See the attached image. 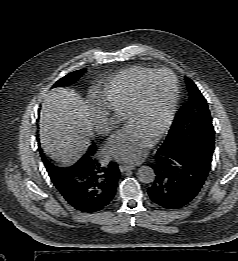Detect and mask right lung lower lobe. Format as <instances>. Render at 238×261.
I'll return each instance as SVG.
<instances>
[{
  "label": "right lung lower lobe",
  "mask_w": 238,
  "mask_h": 261,
  "mask_svg": "<svg viewBox=\"0 0 238 261\" xmlns=\"http://www.w3.org/2000/svg\"><path fill=\"white\" fill-rule=\"evenodd\" d=\"M94 154L95 150L90 148L74 165L61 168L56 173L48 172L63 198L72 207L85 213L98 212L109 206L120 177L115 162L102 167Z\"/></svg>",
  "instance_id": "1"
}]
</instances>
